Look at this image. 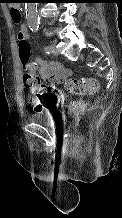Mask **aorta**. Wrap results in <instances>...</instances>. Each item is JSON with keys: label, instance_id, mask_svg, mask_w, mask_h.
<instances>
[{"label": "aorta", "instance_id": "1", "mask_svg": "<svg viewBox=\"0 0 122 218\" xmlns=\"http://www.w3.org/2000/svg\"><path fill=\"white\" fill-rule=\"evenodd\" d=\"M26 20L32 30H36L39 25L37 3H26Z\"/></svg>", "mask_w": 122, "mask_h": 218}]
</instances>
